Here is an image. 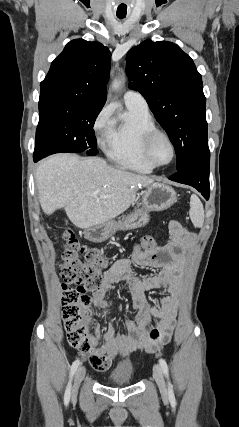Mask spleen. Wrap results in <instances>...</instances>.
I'll return each instance as SVG.
<instances>
[{
	"mask_svg": "<svg viewBox=\"0 0 239 427\" xmlns=\"http://www.w3.org/2000/svg\"><path fill=\"white\" fill-rule=\"evenodd\" d=\"M190 219L193 225L197 228H201L204 224V208L200 199L193 194L190 199Z\"/></svg>",
	"mask_w": 239,
	"mask_h": 427,
	"instance_id": "1",
	"label": "spleen"
}]
</instances>
